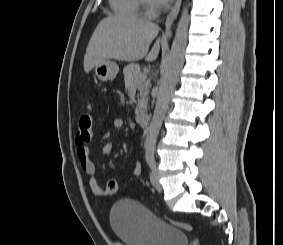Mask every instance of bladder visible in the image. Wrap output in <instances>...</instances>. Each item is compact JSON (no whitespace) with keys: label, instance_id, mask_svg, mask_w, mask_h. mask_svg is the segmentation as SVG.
Here are the masks:
<instances>
[{"label":"bladder","instance_id":"bladder-1","mask_svg":"<svg viewBox=\"0 0 283 245\" xmlns=\"http://www.w3.org/2000/svg\"><path fill=\"white\" fill-rule=\"evenodd\" d=\"M110 223L126 245H189V238L183 231L135 200L115 202L110 210Z\"/></svg>","mask_w":283,"mask_h":245}]
</instances>
